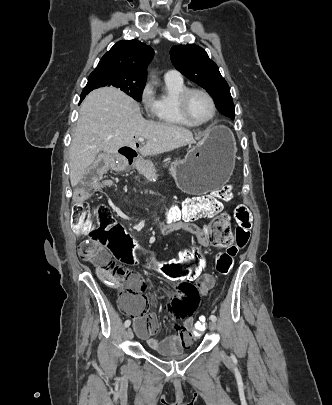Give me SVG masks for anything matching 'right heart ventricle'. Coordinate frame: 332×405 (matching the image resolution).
<instances>
[{
    "instance_id": "right-heart-ventricle-1",
    "label": "right heart ventricle",
    "mask_w": 332,
    "mask_h": 405,
    "mask_svg": "<svg viewBox=\"0 0 332 405\" xmlns=\"http://www.w3.org/2000/svg\"><path fill=\"white\" fill-rule=\"evenodd\" d=\"M187 87L183 80L165 79L164 92L154 97L153 118L163 124L191 127L180 115L177 99Z\"/></svg>"
}]
</instances>
